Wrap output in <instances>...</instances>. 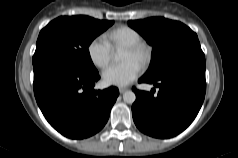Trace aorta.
<instances>
[{
	"label": "aorta",
	"instance_id": "1",
	"mask_svg": "<svg viewBox=\"0 0 238 158\" xmlns=\"http://www.w3.org/2000/svg\"><path fill=\"white\" fill-rule=\"evenodd\" d=\"M115 59H119L118 55H115ZM123 100L124 102L128 103V104H132L135 102L136 100V95L134 92L132 91H126L123 94Z\"/></svg>",
	"mask_w": 238,
	"mask_h": 158
}]
</instances>
